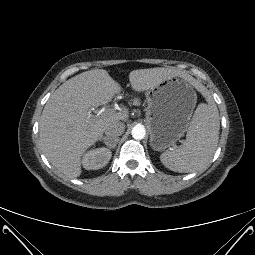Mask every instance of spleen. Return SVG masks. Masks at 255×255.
<instances>
[{
    "label": "spleen",
    "instance_id": "obj_1",
    "mask_svg": "<svg viewBox=\"0 0 255 255\" xmlns=\"http://www.w3.org/2000/svg\"><path fill=\"white\" fill-rule=\"evenodd\" d=\"M219 111L212 100L196 108L182 145L161 154L162 164L175 172L190 173L205 168L219 141Z\"/></svg>",
    "mask_w": 255,
    "mask_h": 255
}]
</instances>
